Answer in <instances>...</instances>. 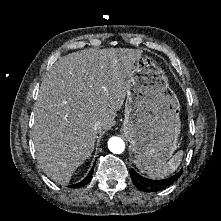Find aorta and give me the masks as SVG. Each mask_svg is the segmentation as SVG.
<instances>
[{"label": "aorta", "instance_id": "obj_1", "mask_svg": "<svg viewBox=\"0 0 221 221\" xmlns=\"http://www.w3.org/2000/svg\"><path fill=\"white\" fill-rule=\"evenodd\" d=\"M108 148L114 154H121L125 150V143L119 137H111L108 141Z\"/></svg>", "mask_w": 221, "mask_h": 221}]
</instances>
